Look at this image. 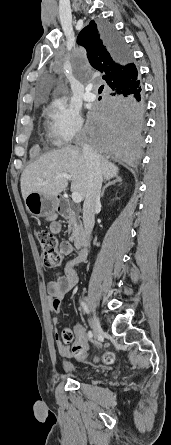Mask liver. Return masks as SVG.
<instances>
[{"instance_id":"6515ba94","label":"liver","mask_w":171,"mask_h":445,"mask_svg":"<svg viewBox=\"0 0 171 445\" xmlns=\"http://www.w3.org/2000/svg\"><path fill=\"white\" fill-rule=\"evenodd\" d=\"M99 158L104 179L109 180L117 176L119 168L104 157ZM61 173L71 176V190L79 192L84 199L88 189V170L83 152L77 146L49 152L28 165L21 175L23 199L25 200L31 192L57 197L68 186L67 179L55 178Z\"/></svg>"}]
</instances>
